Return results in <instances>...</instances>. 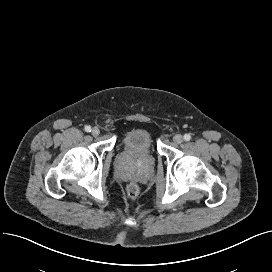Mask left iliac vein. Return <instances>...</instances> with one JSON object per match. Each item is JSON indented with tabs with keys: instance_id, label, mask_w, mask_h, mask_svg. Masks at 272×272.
<instances>
[{
	"instance_id": "4c4485c4",
	"label": "left iliac vein",
	"mask_w": 272,
	"mask_h": 272,
	"mask_svg": "<svg viewBox=\"0 0 272 272\" xmlns=\"http://www.w3.org/2000/svg\"><path fill=\"white\" fill-rule=\"evenodd\" d=\"M173 141L176 143V144H180L182 143L183 141V136L181 134H176L174 137H173Z\"/></svg>"
}]
</instances>
